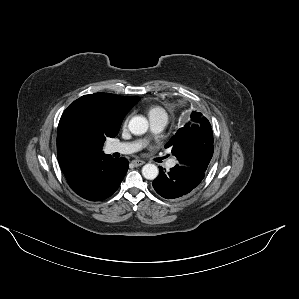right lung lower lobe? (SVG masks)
Here are the masks:
<instances>
[{
	"mask_svg": "<svg viewBox=\"0 0 299 299\" xmlns=\"http://www.w3.org/2000/svg\"><path fill=\"white\" fill-rule=\"evenodd\" d=\"M128 166L127 159H114L107 155L90 160L78 175L67 180L72 190L82 198L100 201L118 189Z\"/></svg>",
	"mask_w": 299,
	"mask_h": 299,
	"instance_id": "98d812e1",
	"label": "right lung lower lobe"
}]
</instances>
